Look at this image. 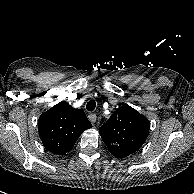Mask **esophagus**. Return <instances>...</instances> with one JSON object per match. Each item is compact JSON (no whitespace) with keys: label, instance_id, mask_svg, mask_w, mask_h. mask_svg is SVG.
<instances>
[{"label":"esophagus","instance_id":"obj_1","mask_svg":"<svg viewBox=\"0 0 194 194\" xmlns=\"http://www.w3.org/2000/svg\"><path fill=\"white\" fill-rule=\"evenodd\" d=\"M88 118H89L90 122L95 123L96 122V119H97V116L94 113H90L88 115Z\"/></svg>","mask_w":194,"mask_h":194}]
</instances>
